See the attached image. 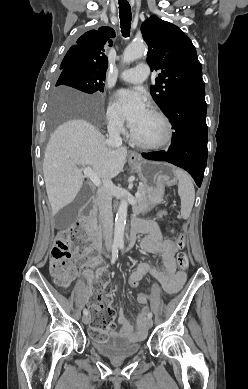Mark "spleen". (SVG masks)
I'll list each match as a JSON object with an SVG mask.
<instances>
[{"label": "spleen", "mask_w": 248, "mask_h": 389, "mask_svg": "<svg viewBox=\"0 0 248 389\" xmlns=\"http://www.w3.org/2000/svg\"><path fill=\"white\" fill-rule=\"evenodd\" d=\"M178 179V194L181 199V216L187 219L193 208L195 189L191 177L183 170L176 169Z\"/></svg>", "instance_id": "1"}]
</instances>
